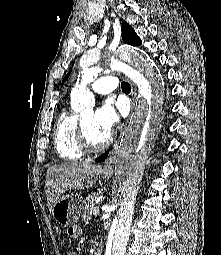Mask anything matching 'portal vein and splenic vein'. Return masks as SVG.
Masks as SVG:
<instances>
[{
  "label": "portal vein and splenic vein",
  "instance_id": "obj_1",
  "mask_svg": "<svg viewBox=\"0 0 221 255\" xmlns=\"http://www.w3.org/2000/svg\"><path fill=\"white\" fill-rule=\"evenodd\" d=\"M99 211H100L99 206H96V207L94 208V210H93V214H94V215H97V214H99Z\"/></svg>",
  "mask_w": 221,
  "mask_h": 255
}]
</instances>
